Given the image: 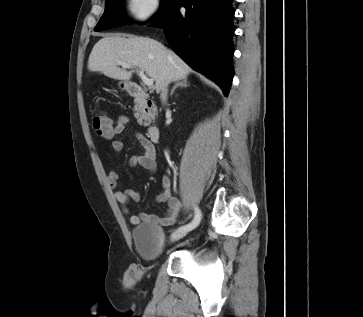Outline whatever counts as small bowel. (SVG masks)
I'll list each match as a JSON object with an SVG mask.
<instances>
[{
    "instance_id": "1",
    "label": "small bowel",
    "mask_w": 363,
    "mask_h": 317,
    "mask_svg": "<svg viewBox=\"0 0 363 317\" xmlns=\"http://www.w3.org/2000/svg\"><path fill=\"white\" fill-rule=\"evenodd\" d=\"M129 123V118L125 115H121L117 118L115 124H111L109 130L100 133L103 138L111 140L112 149L117 153L122 151L123 142L116 139V137L127 129ZM136 139L143 147L144 152L142 155L130 157L128 161L129 166L135 167L139 165L151 173H155L157 170V163L154 143L140 132L136 133ZM118 180L119 173L116 170H112L108 175V184L111 188L115 189L118 186ZM161 184L162 192L156 196L155 200L167 204L168 208L166 214L163 217L145 213L141 215H130L129 220L132 224H138L141 219L163 226H169L175 223L181 209V203L171 191V179L168 175L165 174L162 176ZM115 197L122 206L123 211L127 214L129 212L128 205L130 201L139 202L141 199L140 193L134 189L116 190Z\"/></svg>"
}]
</instances>
